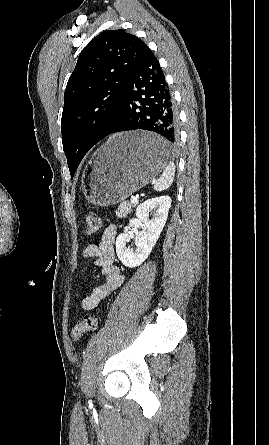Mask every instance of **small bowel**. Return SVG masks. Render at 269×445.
<instances>
[{"label": "small bowel", "mask_w": 269, "mask_h": 445, "mask_svg": "<svg viewBox=\"0 0 269 445\" xmlns=\"http://www.w3.org/2000/svg\"><path fill=\"white\" fill-rule=\"evenodd\" d=\"M117 230L115 225H109L103 232L99 244L85 247L83 257L92 259L104 283L95 287L92 292L81 300V308L91 311L118 289L124 282V275L115 265V241Z\"/></svg>", "instance_id": "obj_1"}]
</instances>
